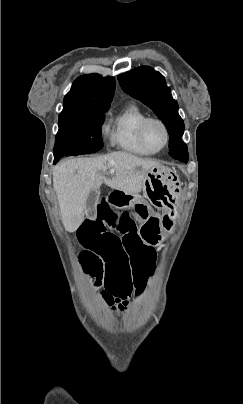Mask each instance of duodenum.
<instances>
[{
	"mask_svg": "<svg viewBox=\"0 0 243 404\" xmlns=\"http://www.w3.org/2000/svg\"><path fill=\"white\" fill-rule=\"evenodd\" d=\"M110 202L118 208H129L135 204L136 197L123 188H115L109 194Z\"/></svg>",
	"mask_w": 243,
	"mask_h": 404,
	"instance_id": "duodenum-1",
	"label": "duodenum"
}]
</instances>
